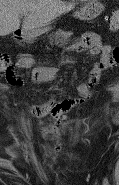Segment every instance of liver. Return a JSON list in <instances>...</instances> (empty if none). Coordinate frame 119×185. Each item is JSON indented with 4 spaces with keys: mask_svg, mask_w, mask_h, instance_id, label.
<instances>
[{
    "mask_svg": "<svg viewBox=\"0 0 119 185\" xmlns=\"http://www.w3.org/2000/svg\"><path fill=\"white\" fill-rule=\"evenodd\" d=\"M71 9L73 5L60 0H0V36L17 31L22 14H27L23 30H31L47 26L53 19Z\"/></svg>",
    "mask_w": 119,
    "mask_h": 185,
    "instance_id": "6515ba94",
    "label": "liver"
}]
</instances>
